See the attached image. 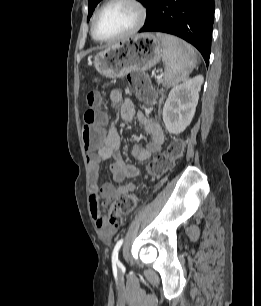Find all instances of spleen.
Instances as JSON below:
<instances>
[{
	"label": "spleen",
	"instance_id": "spleen-1",
	"mask_svg": "<svg viewBox=\"0 0 261 306\" xmlns=\"http://www.w3.org/2000/svg\"><path fill=\"white\" fill-rule=\"evenodd\" d=\"M156 36L162 44L164 85L169 88L188 78L196 65V54L191 45L175 36L164 33H157Z\"/></svg>",
	"mask_w": 261,
	"mask_h": 306
}]
</instances>
